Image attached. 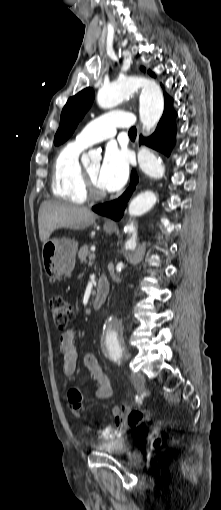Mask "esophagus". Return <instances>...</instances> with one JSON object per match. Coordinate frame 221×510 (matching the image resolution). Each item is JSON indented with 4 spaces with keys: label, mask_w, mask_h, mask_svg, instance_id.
<instances>
[{
    "label": "esophagus",
    "mask_w": 221,
    "mask_h": 510,
    "mask_svg": "<svg viewBox=\"0 0 221 510\" xmlns=\"http://www.w3.org/2000/svg\"><path fill=\"white\" fill-rule=\"evenodd\" d=\"M106 222H107V224L115 225V223L113 221H111V220H107Z\"/></svg>",
    "instance_id": "esophagus-1"
}]
</instances>
